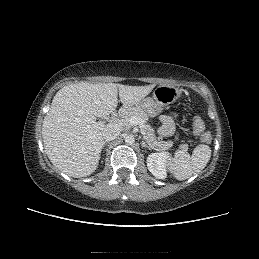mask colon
Segmentation results:
<instances>
[{
  "label": "colon",
  "mask_w": 259,
  "mask_h": 259,
  "mask_svg": "<svg viewBox=\"0 0 259 259\" xmlns=\"http://www.w3.org/2000/svg\"><path fill=\"white\" fill-rule=\"evenodd\" d=\"M193 130L197 136L200 137V140L204 144H210L211 143V135L210 133L206 130L205 124L202 121L201 118L196 117L193 121Z\"/></svg>",
  "instance_id": "5ec220e1"
}]
</instances>
